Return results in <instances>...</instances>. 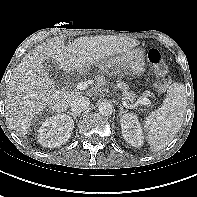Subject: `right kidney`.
Returning <instances> with one entry per match:
<instances>
[{
  "label": "right kidney",
  "instance_id": "obj_1",
  "mask_svg": "<svg viewBox=\"0 0 197 197\" xmlns=\"http://www.w3.org/2000/svg\"><path fill=\"white\" fill-rule=\"evenodd\" d=\"M74 128V121L65 114L47 118L39 129L38 142L43 147H58L68 141Z\"/></svg>",
  "mask_w": 197,
  "mask_h": 197
}]
</instances>
